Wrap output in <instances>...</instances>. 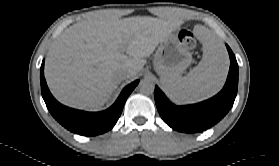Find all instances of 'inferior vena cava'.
<instances>
[{"mask_svg": "<svg viewBox=\"0 0 279 166\" xmlns=\"http://www.w3.org/2000/svg\"><path fill=\"white\" fill-rule=\"evenodd\" d=\"M132 72L133 70L131 68L123 67L117 71L115 76L118 80L123 81L129 78L132 75Z\"/></svg>", "mask_w": 279, "mask_h": 166, "instance_id": "obj_1", "label": "inferior vena cava"}]
</instances>
